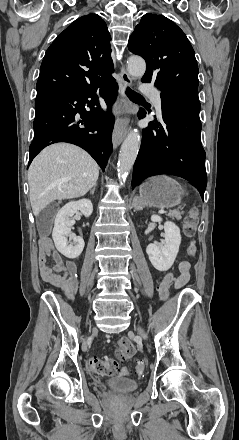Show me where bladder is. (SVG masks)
<instances>
[{
	"instance_id": "1",
	"label": "bladder",
	"mask_w": 239,
	"mask_h": 440,
	"mask_svg": "<svg viewBox=\"0 0 239 440\" xmlns=\"http://www.w3.org/2000/svg\"><path fill=\"white\" fill-rule=\"evenodd\" d=\"M106 385L122 392H132L139 387L137 380L123 377L110 379L106 382Z\"/></svg>"
}]
</instances>
